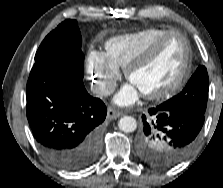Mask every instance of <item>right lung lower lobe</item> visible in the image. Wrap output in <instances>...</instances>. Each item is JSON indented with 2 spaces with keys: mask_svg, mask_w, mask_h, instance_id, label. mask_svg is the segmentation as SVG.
<instances>
[{
  "mask_svg": "<svg viewBox=\"0 0 223 188\" xmlns=\"http://www.w3.org/2000/svg\"><path fill=\"white\" fill-rule=\"evenodd\" d=\"M26 96L33 136L52 164L77 171L97 158L106 106L83 81L59 68L32 69Z\"/></svg>",
  "mask_w": 223,
  "mask_h": 188,
  "instance_id": "right-lung-lower-lobe-1",
  "label": "right lung lower lobe"
}]
</instances>
